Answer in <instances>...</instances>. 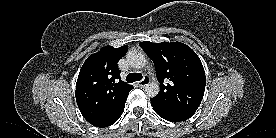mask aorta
<instances>
[{"mask_svg": "<svg viewBox=\"0 0 276 138\" xmlns=\"http://www.w3.org/2000/svg\"><path fill=\"white\" fill-rule=\"evenodd\" d=\"M126 58H127L128 64L133 68L141 69L146 65L145 55L140 51H136V50L129 51L127 53ZM159 90H160L159 85L158 83H155V82L148 83L145 86V93L149 97H155L159 93Z\"/></svg>", "mask_w": 276, "mask_h": 138, "instance_id": "762f6f07", "label": "aorta"}]
</instances>
